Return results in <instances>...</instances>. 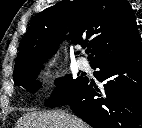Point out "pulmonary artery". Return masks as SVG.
<instances>
[{
    "mask_svg": "<svg viewBox=\"0 0 142 128\" xmlns=\"http://www.w3.org/2000/svg\"><path fill=\"white\" fill-rule=\"evenodd\" d=\"M77 64L81 70H88L90 67L88 60L84 57H79L77 60Z\"/></svg>",
    "mask_w": 142,
    "mask_h": 128,
    "instance_id": "e3ab8cb5",
    "label": "pulmonary artery"
}]
</instances>
